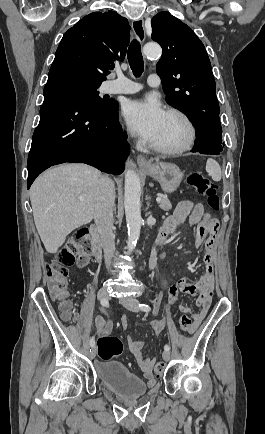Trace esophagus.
<instances>
[{
    "label": "esophagus",
    "instance_id": "esophagus-1",
    "mask_svg": "<svg viewBox=\"0 0 265 434\" xmlns=\"http://www.w3.org/2000/svg\"><path fill=\"white\" fill-rule=\"evenodd\" d=\"M132 30L134 35L139 42H144L146 39V31L144 27V20L142 18H136L132 21ZM137 163L139 167H149L150 164L144 155H139L137 157Z\"/></svg>",
    "mask_w": 265,
    "mask_h": 434
}]
</instances>
